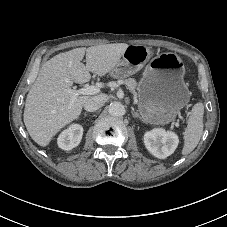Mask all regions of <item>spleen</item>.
<instances>
[{"mask_svg": "<svg viewBox=\"0 0 227 227\" xmlns=\"http://www.w3.org/2000/svg\"><path fill=\"white\" fill-rule=\"evenodd\" d=\"M203 114L204 106L202 103H197L193 106L191 115L188 119L187 128L183 133L184 146L182 149L183 155L190 154L198 145L203 134Z\"/></svg>", "mask_w": 227, "mask_h": 227, "instance_id": "3e777b00", "label": "spleen"}]
</instances>
